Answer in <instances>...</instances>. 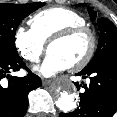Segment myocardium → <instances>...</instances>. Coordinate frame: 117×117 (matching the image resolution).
I'll return each instance as SVG.
<instances>
[{"instance_id":"obj_1","label":"myocardium","mask_w":117,"mask_h":117,"mask_svg":"<svg viewBox=\"0 0 117 117\" xmlns=\"http://www.w3.org/2000/svg\"><path fill=\"white\" fill-rule=\"evenodd\" d=\"M79 35H86L89 38V46L84 57L79 60L77 63L70 66V68L74 71H79L85 68L93 59L97 47V38L94 31L87 25H78L67 28L65 30L60 31L50 38L47 45V51L52 45L56 43L65 42L71 38H74Z\"/></svg>"}]
</instances>
